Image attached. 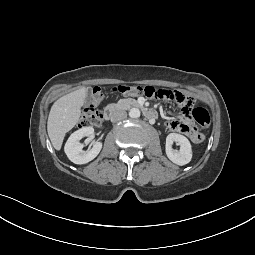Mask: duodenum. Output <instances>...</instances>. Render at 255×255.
Masks as SVG:
<instances>
[{"mask_svg":"<svg viewBox=\"0 0 255 255\" xmlns=\"http://www.w3.org/2000/svg\"><path fill=\"white\" fill-rule=\"evenodd\" d=\"M131 105L133 107H142V105L138 102H132ZM119 111V107L116 105H109L105 108L103 112V117L105 120H111L112 118L115 117L117 112ZM144 115L150 119V120H155L157 118V113L151 109H144Z\"/></svg>","mask_w":255,"mask_h":255,"instance_id":"410a0bca","label":"duodenum"}]
</instances>
